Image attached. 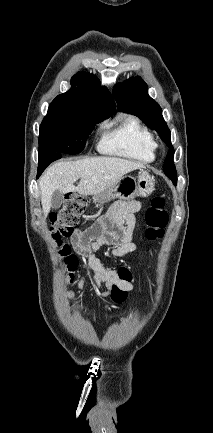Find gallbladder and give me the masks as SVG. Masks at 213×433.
Listing matches in <instances>:
<instances>
[{
	"instance_id": "1",
	"label": "gallbladder",
	"mask_w": 213,
	"mask_h": 433,
	"mask_svg": "<svg viewBox=\"0 0 213 433\" xmlns=\"http://www.w3.org/2000/svg\"><path fill=\"white\" fill-rule=\"evenodd\" d=\"M63 201H64V194L59 190L54 191L51 197V203H50L51 208L52 209L60 208Z\"/></svg>"
}]
</instances>
